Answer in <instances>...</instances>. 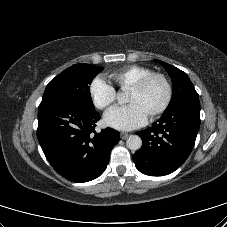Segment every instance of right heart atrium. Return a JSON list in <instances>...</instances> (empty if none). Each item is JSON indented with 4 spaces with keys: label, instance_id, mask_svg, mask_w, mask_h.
<instances>
[{
    "label": "right heart atrium",
    "instance_id": "d8ad5b80",
    "mask_svg": "<svg viewBox=\"0 0 227 227\" xmlns=\"http://www.w3.org/2000/svg\"><path fill=\"white\" fill-rule=\"evenodd\" d=\"M89 94L98 109L111 106L117 97L115 88L102 76L95 77L89 85Z\"/></svg>",
    "mask_w": 227,
    "mask_h": 227
}]
</instances>
